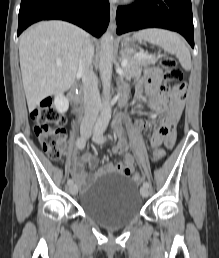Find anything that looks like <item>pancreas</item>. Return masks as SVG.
Segmentation results:
<instances>
[{"label":"pancreas","instance_id":"pancreas-1","mask_svg":"<svg viewBox=\"0 0 219 258\" xmlns=\"http://www.w3.org/2000/svg\"><path fill=\"white\" fill-rule=\"evenodd\" d=\"M124 59H127L128 63L124 67L125 76L127 79L133 77L138 78L141 75L142 67L147 65L154 64L158 61V58L152 57L151 59H139L133 56H124Z\"/></svg>","mask_w":219,"mask_h":258}]
</instances>
